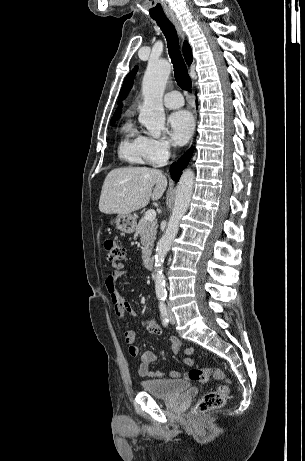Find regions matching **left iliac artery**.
I'll return each instance as SVG.
<instances>
[{"label": "left iliac artery", "instance_id": "obj_1", "mask_svg": "<svg viewBox=\"0 0 305 461\" xmlns=\"http://www.w3.org/2000/svg\"><path fill=\"white\" fill-rule=\"evenodd\" d=\"M161 298H164V299H166V297H165V296H163V297H161Z\"/></svg>", "mask_w": 305, "mask_h": 461}]
</instances>
